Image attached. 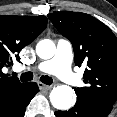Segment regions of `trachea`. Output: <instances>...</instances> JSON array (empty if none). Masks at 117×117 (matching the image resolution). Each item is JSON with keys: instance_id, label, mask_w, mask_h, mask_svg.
Returning <instances> with one entry per match:
<instances>
[{"instance_id": "1", "label": "trachea", "mask_w": 117, "mask_h": 117, "mask_svg": "<svg viewBox=\"0 0 117 117\" xmlns=\"http://www.w3.org/2000/svg\"><path fill=\"white\" fill-rule=\"evenodd\" d=\"M21 81H31L33 79V73L32 72H25L21 74L20 76ZM40 81L44 84L51 85L53 83V79L49 76H41Z\"/></svg>"}]
</instances>
